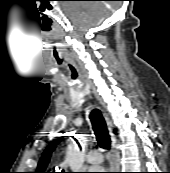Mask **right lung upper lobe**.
<instances>
[{
    "label": "right lung upper lobe",
    "instance_id": "obj_1",
    "mask_svg": "<svg viewBox=\"0 0 170 173\" xmlns=\"http://www.w3.org/2000/svg\"><path fill=\"white\" fill-rule=\"evenodd\" d=\"M58 143V140L53 141L47 148L46 150L43 152V155L38 163V167H37V172L36 173H46V167L49 163L50 160V156L52 151L55 149L56 145Z\"/></svg>",
    "mask_w": 170,
    "mask_h": 173
}]
</instances>
